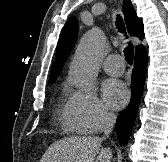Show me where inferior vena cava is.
Segmentation results:
<instances>
[{
	"label": "inferior vena cava",
	"mask_w": 168,
	"mask_h": 162,
	"mask_svg": "<svg viewBox=\"0 0 168 162\" xmlns=\"http://www.w3.org/2000/svg\"><path fill=\"white\" fill-rule=\"evenodd\" d=\"M116 122V116L112 113H104L102 117V129L104 132V136L102 139H106L110 133L112 132V129Z\"/></svg>",
	"instance_id": "obj_1"
}]
</instances>
